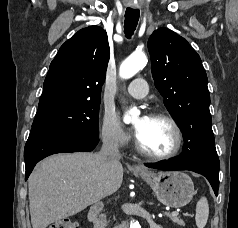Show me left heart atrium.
<instances>
[{
	"label": "left heart atrium",
	"mask_w": 238,
	"mask_h": 228,
	"mask_svg": "<svg viewBox=\"0 0 238 228\" xmlns=\"http://www.w3.org/2000/svg\"><path fill=\"white\" fill-rule=\"evenodd\" d=\"M147 119H148V117H146V116L140 118V124L135 126L134 133H135L136 137H138V135L140 134L141 127L146 123Z\"/></svg>",
	"instance_id": "obj_1"
}]
</instances>
